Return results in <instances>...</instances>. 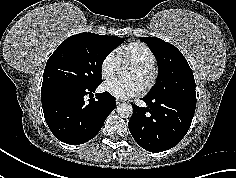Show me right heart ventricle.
Here are the masks:
<instances>
[{
  "label": "right heart ventricle",
  "instance_id": "1",
  "mask_svg": "<svg viewBox=\"0 0 236 178\" xmlns=\"http://www.w3.org/2000/svg\"><path fill=\"white\" fill-rule=\"evenodd\" d=\"M117 59L120 65H129L134 62H143L155 64L156 57L153 51L142 42H131L116 52Z\"/></svg>",
  "mask_w": 236,
  "mask_h": 178
}]
</instances>
